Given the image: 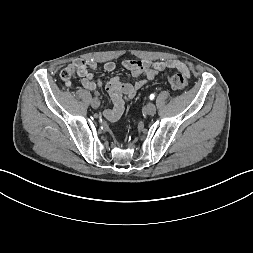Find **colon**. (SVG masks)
<instances>
[{"instance_id":"colon-1","label":"colon","mask_w":253,"mask_h":253,"mask_svg":"<svg viewBox=\"0 0 253 253\" xmlns=\"http://www.w3.org/2000/svg\"><path fill=\"white\" fill-rule=\"evenodd\" d=\"M73 73L69 69H64L60 73L61 80L67 88L71 87L70 79ZM168 81L174 89H184L189 85L190 78L187 72H174L168 74Z\"/></svg>"}]
</instances>
